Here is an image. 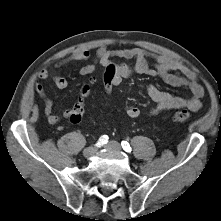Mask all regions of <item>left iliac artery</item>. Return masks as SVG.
<instances>
[{"label": "left iliac artery", "mask_w": 221, "mask_h": 221, "mask_svg": "<svg viewBox=\"0 0 221 221\" xmlns=\"http://www.w3.org/2000/svg\"><path fill=\"white\" fill-rule=\"evenodd\" d=\"M121 145L126 152H131L132 149L127 141H122Z\"/></svg>", "instance_id": "obj_1"}]
</instances>
